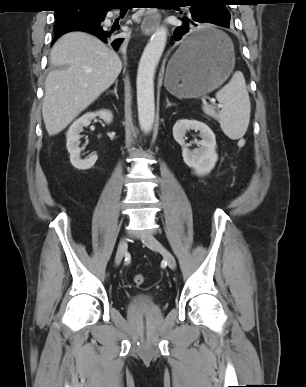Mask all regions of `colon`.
I'll return each instance as SVG.
<instances>
[{
    "label": "colon",
    "instance_id": "5ec220e1",
    "mask_svg": "<svg viewBox=\"0 0 306 387\" xmlns=\"http://www.w3.org/2000/svg\"><path fill=\"white\" fill-rule=\"evenodd\" d=\"M133 282L136 286H142L145 282V277L142 274H137L133 277Z\"/></svg>",
    "mask_w": 306,
    "mask_h": 387
}]
</instances>
